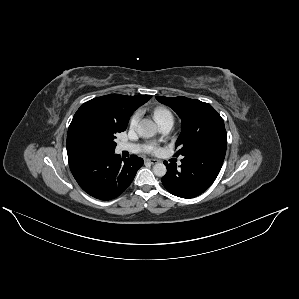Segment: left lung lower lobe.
I'll return each instance as SVG.
<instances>
[{
    "label": "left lung lower lobe",
    "mask_w": 299,
    "mask_h": 299,
    "mask_svg": "<svg viewBox=\"0 0 299 299\" xmlns=\"http://www.w3.org/2000/svg\"><path fill=\"white\" fill-rule=\"evenodd\" d=\"M226 149H204L189 153L181 160L178 169L176 164H164L167 173L162 177V184L171 194L181 198H193L215 181L222 167Z\"/></svg>",
    "instance_id": "left-lung-lower-lobe-1"
}]
</instances>
